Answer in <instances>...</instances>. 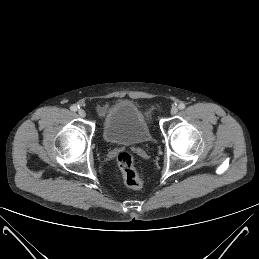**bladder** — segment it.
Instances as JSON below:
<instances>
[{
	"instance_id": "obj_1",
	"label": "bladder",
	"mask_w": 259,
	"mask_h": 259,
	"mask_svg": "<svg viewBox=\"0 0 259 259\" xmlns=\"http://www.w3.org/2000/svg\"><path fill=\"white\" fill-rule=\"evenodd\" d=\"M103 138L111 145H143L152 140L139 107L129 100L115 102L103 120Z\"/></svg>"
}]
</instances>
